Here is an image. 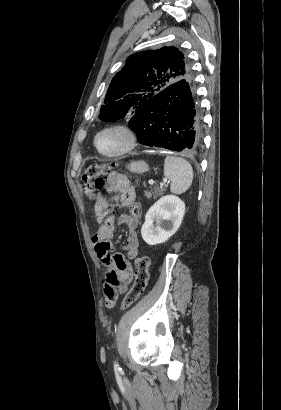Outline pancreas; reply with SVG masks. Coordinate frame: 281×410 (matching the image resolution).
<instances>
[{
    "label": "pancreas",
    "mask_w": 281,
    "mask_h": 410,
    "mask_svg": "<svg viewBox=\"0 0 281 410\" xmlns=\"http://www.w3.org/2000/svg\"><path fill=\"white\" fill-rule=\"evenodd\" d=\"M163 192H164V189H163V188H154L153 190H151V192L145 191V194H144V195H145L147 198H151L152 195H153L154 197H157V196L162 195Z\"/></svg>",
    "instance_id": "1"
}]
</instances>
